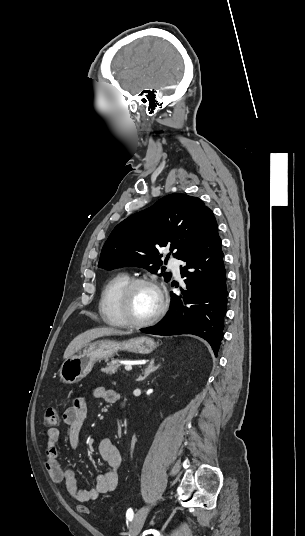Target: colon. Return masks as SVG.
<instances>
[{"label": "colon", "mask_w": 305, "mask_h": 536, "mask_svg": "<svg viewBox=\"0 0 305 536\" xmlns=\"http://www.w3.org/2000/svg\"><path fill=\"white\" fill-rule=\"evenodd\" d=\"M58 413L55 407L50 406L46 409L43 417V424L45 427H54L57 425ZM77 509L79 512L84 513L89 510L87 503L81 502L78 504Z\"/></svg>", "instance_id": "5ec220e1"}]
</instances>
